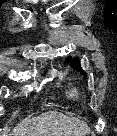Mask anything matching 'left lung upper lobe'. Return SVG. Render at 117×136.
Returning <instances> with one entry per match:
<instances>
[{"label":"left lung upper lobe","mask_w":117,"mask_h":136,"mask_svg":"<svg viewBox=\"0 0 117 136\" xmlns=\"http://www.w3.org/2000/svg\"><path fill=\"white\" fill-rule=\"evenodd\" d=\"M71 60V56L68 57V61ZM71 66L76 69L77 71H80L83 75H86L85 72H83L80 68V62L78 60V58H74L72 61H71Z\"/></svg>","instance_id":"left-lung-upper-lobe-1"}]
</instances>
